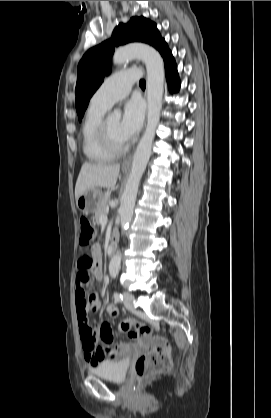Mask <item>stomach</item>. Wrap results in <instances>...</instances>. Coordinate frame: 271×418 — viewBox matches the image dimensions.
<instances>
[{"instance_id": "stomach-1", "label": "stomach", "mask_w": 271, "mask_h": 418, "mask_svg": "<svg viewBox=\"0 0 271 418\" xmlns=\"http://www.w3.org/2000/svg\"><path fill=\"white\" fill-rule=\"evenodd\" d=\"M102 197L103 193L99 188L90 189L79 196L76 201L77 208L84 214L94 213Z\"/></svg>"}]
</instances>
